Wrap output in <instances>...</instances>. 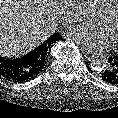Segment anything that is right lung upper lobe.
Wrapping results in <instances>:
<instances>
[{"instance_id":"1","label":"right lung upper lobe","mask_w":118,"mask_h":118,"mask_svg":"<svg viewBox=\"0 0 118 118\" xmlns=\"http://www.w3.org/2000/svg\"><path fill=\"white\" fill-rule=\"evenodd\" d=\"M57 41L56 34L52 35L46 42L32 51V54L38 59V67L43 68L47 56V51L53 42Z\"/></svg>"}]
</instances>
